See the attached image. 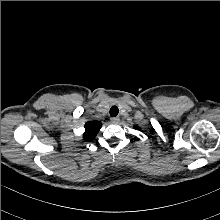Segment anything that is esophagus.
<instances>
[{
  "label": "esophagus",
  "mask_w": 220,
  "mask_h": 220,
  "mask_svg": "<svg viewBox=\"0 0 220 220\" xmlns=\"http://www.w3.org/2000/svg\"><path fill=\"white\" fill-rule=\"evenodd\" d=\"M119 120H120L119 117H112L111 118V122H113V123H117V122H119Z\"/></svg>",
  "instance_id": "esophagus-1"
}]
</instances>
